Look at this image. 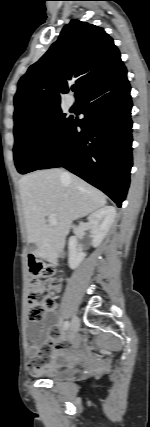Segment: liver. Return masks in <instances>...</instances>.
Returning a JSON list of instances; mask_svg holds the SVG:
<instances>
[{
  "label": "liver",
  "instance_id": "obj_1",
  "mask_svg": "<svg viewBox=\"0 0 150 427\" xmlns=\"http://www.w3.org/2000/svg\"><path fill=\"white\" fill-rule=\"evenodd\" d=\"M58 168L39 170L19 180V191L27 229V240L36 254L50 261L62 252L74 220L104 207L106 196L81 178ZM54 214L56 225L46 217Z\"/></svg>",
  "mask_w": 150,
  "mask_h": 427
}]
</instances>
